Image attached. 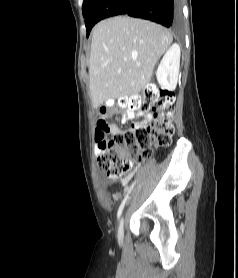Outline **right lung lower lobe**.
Listing matches in <instances>:
<instances>
[{
  "instance_id": "1",
  "label": "right lung lower lobe",
  "mask_w": 238,
  "mask_h": 278,
  "mask_svg": "<svg viewBox=\"0 0 238 278\" xmlns=\"http://www.w3.org/2000/svg\"><path fill=\"white\" fill-rule=\"evenodd\" d=\"M119 14L151 20L168 28H178L182 22L180 0H97L85 16L87 36L98 21Z\"/></svg>"
}]
</instances>
